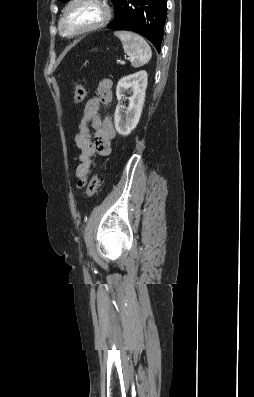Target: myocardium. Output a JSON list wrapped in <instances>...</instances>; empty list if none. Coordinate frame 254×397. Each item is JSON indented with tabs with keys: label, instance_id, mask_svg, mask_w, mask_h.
Here are the masks:
<instances>
[{
	"label": "myocardium",
	"instance_id": "myocardium-1",
	"mask_svg": "<svg viewBox=\"0 0 254 397\" xmlns=\"http://www.w3.org/2000/svg\"><path fill=\"white\" fill-rule=\"evenodd\" d=\"M80 3H93L99 6L102 10L101 17L94 23L84 26L76 31L66 33L63 29V23L66 19L67 15L69 14L70 10ZM112 17V11L110 6L105 0H70L68 4L64 7L62 13L60 14L57 27L59 33L66 38H75L81 36L83 34L96 31L109 23Z\"/></svg>",
	"mask_w": 254,
	"mask_h": 397
}]
</instances>
